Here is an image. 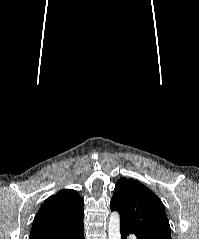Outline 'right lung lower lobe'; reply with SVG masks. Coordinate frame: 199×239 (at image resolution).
<instances>
[{"instance_id": "right-lung-lower-lobe-1", "label": "right lung lower lobe", "mask_w": 199, "mask_h": 239, "mask_svg": "<svg viewBox=\"0 0 199 239\" xmlns=\"http://www.w3.org/2000/svg\"><path fill=\"white\" fill-rule=\"evenodd\" d=\"M83 232L84 225L82 220L63 230L52 233L35 234L30 236L29 239H84Z\"/></svg>"}]
</instances>
